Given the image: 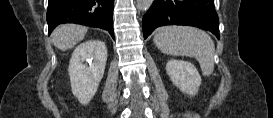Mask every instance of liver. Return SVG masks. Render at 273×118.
Here are the masks:
<instances>
[{
  "label": "liver",
  "mask_w": 273,
  "mask_h": 118,
  "mask_svg": "<svg viewBox=\"0 0 273 118\" xmlns=\"http://www.w3.org/2000/svg\"><path fill=\"white\" fill-rule=\"evenodd\" d=\"M87 28L83 26L66 24L59 26L52 33V43L60 50L73 48L84 39Z\"/></svg>",
  "instance_id": "liver-1"
}]
</instances>
